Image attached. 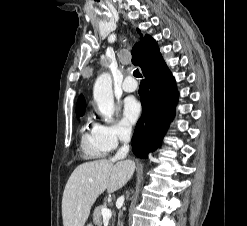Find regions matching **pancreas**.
Returning a JSON list of instances; mask_svg holds the SVG:
<instances>
[{
  "mask_svg": "<svg viewBox=\"0 0 247 226\" xmlns=\"http://www.w3.org/2000/svg\"><path fill=\"white\" fill-rule=\"evenodd\" d=\"M106 208V204L104 205H100L98 207L95 208L94 213H93V222L97 225V226H102V209Z\"/></svg>",
  "mask_w": 247,
  "mask_h": 226,
  "instance_id": "obj_1",
  "label": "pancreas"
}]
</instances>
